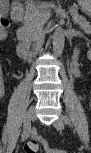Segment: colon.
<instances>
[{"label":"colon","instance_id":"5ec220e1","mask_svg":"<svg viewBox=\"0 0 91 153\" xmlns=\"http://www.w3.org/2000/svg\"><path fill=\"white\" fill-rule=\"evenodd\" d=\"M1 27L6 29L8 26L7 20H2L0 23ZM43 147L45 149H48V143L45 139H34L29 141L24 146V153H36L39 149V147Z\"/></svg>","mask_w":91,"mask_h":153}]
</instances>
